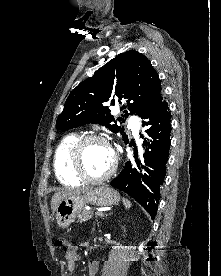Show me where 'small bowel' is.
<instances>
[{
    "mask_svg": "<svg viewBox=\"0 0 221 276\" xmlns=\"http://www.w3.org/2000/svg\"><path fill=\"white\" fill-rule=\"evenodd\" d=\"M82 246H88L87 242L82 243ZM81 259V255L75 246H71L67 249L65 255V261L67 268L70 272H73L76 267L77 261ZM99 268V264L95 260L88 261V274L89 276H95Z\"/></svg>",
    "mask_w": 221,
    "mask_h": 276,
    "instance_id": "obj_1",
    "label": "small bowel"
}]
</instances>
